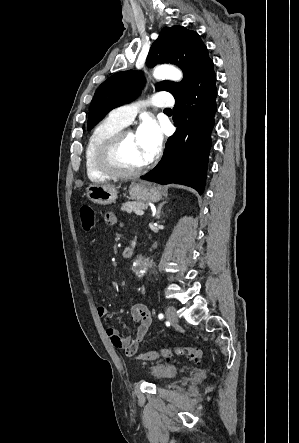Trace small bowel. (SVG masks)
I'll return each mask as SVG.
<instances>
[{
  "instance_id": "c3829d8e",
  "label": "small bowel",
  "mask_w": 299,
  "mask_h": 443,
  "mask_svg": "<svg viewBox=\"0 0 299 443\" xmlns=\"http://www.w3.org/2000/svg\"><path fill=\"white\" fill-rule=\"evenodd\" d=\"M105 221L110 225H114L117 223V218L114 214L108 213L105 215ZM107 312L105 306L99 305L97 307V314L100 317L106 316ZM131 318L137 323L136 333L132 338L129 335H121L119 331L114 328H108L106 330V334L111 344L114 347L123 350L126 356H133L136 354L140 343L145 338L152 323L150 311L143 302L137 303L132 307Z\"/></svg>"
}]
</instances>
